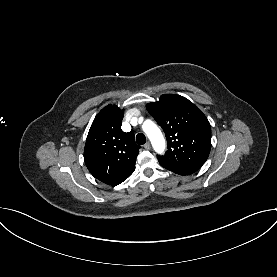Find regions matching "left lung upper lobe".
<instances>
[{"label":"left lung upper lobe","mask_w":277,"mask_h":277,"mask_svg":"<svg viewBox=\"0 0 277 277\" xmlns=\"http://www.w3.org/2000/svg\"><path fill=\"white\" fill-rule=\"evenodd\" d=\"M148 112L163 128L168 142L164 156H157L164 168L197 171L211 149V126L205 115L188 99L165 94L147 104Z\"/></svg>","instance_id":"1"}]
</instances>
